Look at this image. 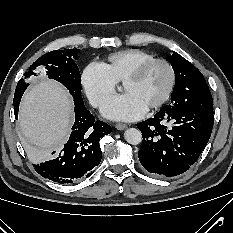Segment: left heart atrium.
<instances>
[{
    "mask_svg": "<svg viewBox=\"0 0 233 233\" xmlns=\"http://www.w3.org/2000/svg\"><path fill=\"white\" fill-rule=\"evenodd\" d=\"M146 112L147 107L131 93L112 97L102 107L103 115L113 120L132 121L143 117Z\"/></svg>",
    "mask_w": 233,
    "mask_h": 233,
    "instance_id": "1",
    "label": "left heart atrium"
}]
</instances>
